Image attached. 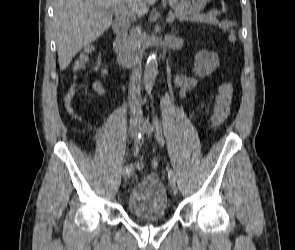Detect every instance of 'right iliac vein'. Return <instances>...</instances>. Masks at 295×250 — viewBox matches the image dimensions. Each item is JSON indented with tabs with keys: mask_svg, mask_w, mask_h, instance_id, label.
<instances>
[{
	"mask_svg": "<svg viewBox=\"0 0 295 250\" xmlns=\"http://www.w3.org/2000/svg\"><path fill=\"white\" fill-rule=\"evenodd\" d=\"M140 129V123L137 119H132L130 123V136L131 138H134L136 136V133ZM123 176L125 179H128L131 176V172H127L124 170Z\"/></svg>",
	"mask_w": 295,
	"mask_h": 250,
	"instance_id": "63e3f726",
	"label": "right iliac vein"
}]
</instances>
